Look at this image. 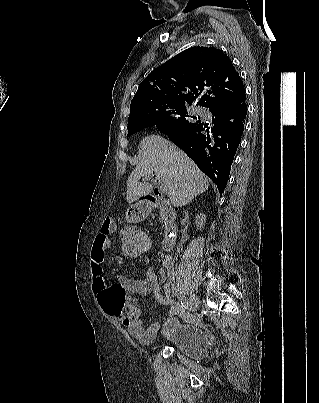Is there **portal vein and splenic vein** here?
Returning <instances> with one entry per match:
<instances>
[{"instance_id":"portal-vein-and-splenic-vein-1","label":"portal vein and splenic vein","mask_w":319,"mask_h":403,"mask_svg":"<svg viewBox=\"0 0 319 403\" xmlns=\"http://www.w3.org/2000/svg\"><path fill=\"white\" fill-rule=\"evenodd\" d=\"M159 188L162 192L167 191V186L164 184V182H159Z\"/></svg>"}]
</instances>
